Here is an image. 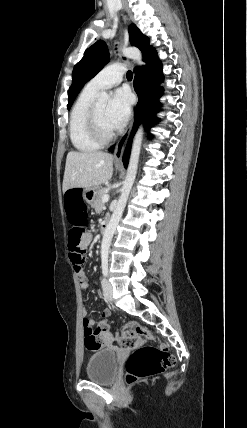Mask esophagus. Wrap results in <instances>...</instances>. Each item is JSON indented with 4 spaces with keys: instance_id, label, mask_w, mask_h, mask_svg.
<instances>
[{
    "instance_id": "obj_1",
    "label": "esophagus",
    "mask_w": 247,
    "mask_h": 428,
    "mask_svg": "<svg viewBox=\"0 0 247 428\" xmlns=\"http://www.w3.org/2000/svg\"><path fill=\"white\" fill-rule=\"evenodd\" d=\"M122 60L127 63L130 64V61L127 57L121 55ZM133 127V119L129 125V127L127 128L126 132L123 134V136L120 138V140L118 141L116 147H115V152H114V162L117 165H122V158L126 149V145L131 133Z\"/></svg>"
}]
</instances>
